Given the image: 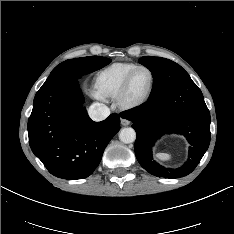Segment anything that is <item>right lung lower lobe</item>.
I'll return each instance as SVG.
<instances>
[{
	"mask_svg": "<svg viewBox=\"0 0 234 234\" xmlns=\"http://www.w3.org/2000/svg\"><path fill=\"white\" fill-rule=\"evenodd\" d=\"M83 102L78 79L68 70L50 74L34 98L29 144L56 177L75 180L91 175L120 130L118 114L94 122L81 106Z\"/></svg>",
	"mask_w": 234,
	"mask_h": 234,
	"instance_id": "right-lung-lower-lobe-1",
	"label": "right lung lower lobe"
}]
</instances>
